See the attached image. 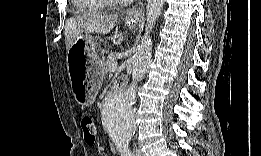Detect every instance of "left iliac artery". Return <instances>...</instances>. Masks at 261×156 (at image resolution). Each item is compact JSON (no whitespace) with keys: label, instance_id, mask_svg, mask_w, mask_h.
I'll list each match as a JSON object with an SVG mask.
<instances>
[{"label":"left iliac artery","instance_id":"left-iliac-artery-1","mask_svg":"<svg viewBox=\"0 0 261 156\" xmlns=\"http://www.w3.org/2000/svg\"><path fill=\"white\" fill-rule=\"evenodd\" d=\"M130 138L118 139L115 141L117 150L122 156H134L135 154L129 148Z\"/></svg>","mask_w":261,"mask_h":156}]
</instances>
